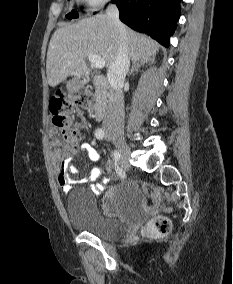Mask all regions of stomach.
Listing matches in <instances>:
<instances>
[{
  "mask_svg": "<svg viewBox=\"0 0 233 284\" xmlns=\"http://www.w3.org/2000/svg\"><path fill=\"white\" fill-rule=\"evenodd\" d=\"M71 86H72L71 88H72L73 90H77V88H78L76 85H71Z\"/></svg>",
  "mask_w": 233,
  "mask_h": 284,
  "instance_id": "stomach-1",
  "label": "stomach"
}]
</instances>
